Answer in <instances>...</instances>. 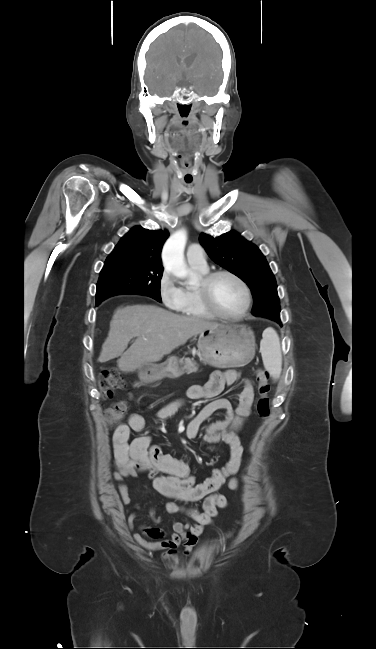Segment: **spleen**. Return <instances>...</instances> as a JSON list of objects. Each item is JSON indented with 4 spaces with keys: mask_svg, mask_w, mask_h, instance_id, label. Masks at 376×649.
Instances as JSON below:
<instances>
[{
    "mask_svg": "<svg viewBox=\"0 0 376 649\" xmlns=\"http://www.w3.org/2000/svg\"><path fill=\"white\" fill-rule=\"evenodd\" d=\"M260 352L266 371L274 379H279L282 372V355L280 340L276 331L269 328L264 331L260 342Z\"/></svg>",
    "mask_w": 376,
    "mask_h": 649,
    "instance_id": "obj_1",
    "label": "spleen"
}]
</instances>
